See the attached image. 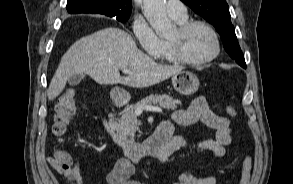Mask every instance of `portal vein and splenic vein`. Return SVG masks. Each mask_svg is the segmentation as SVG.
I'll return each mask as SVG.
<instances>
[{"label":"portal vein and splenic vein","instance_id":"1","mask_svg":"<svg viewBox=\"0 0 293 184\" xmlns=\"http://www.w3.org/2000/svg\"><path fill=\"white\" fill-rule=\"evenodd\" d=\"M122 72L124 74H129L130 73V71L128 69H123ZM144 110L145 111H150V112H161V113L163 112L161 108L156 107V106H144V107H138L136 109V113L141 114Z\"/></svg>","mask_w":293,"mask_h":184}]
</instances>
